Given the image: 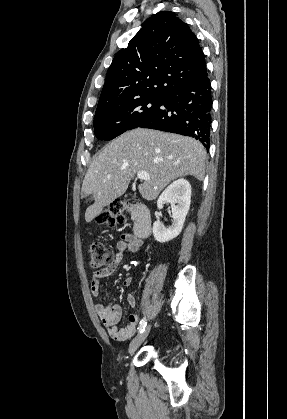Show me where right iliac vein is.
<instances>
[{
	"mask_svg": "<svg viewBox=\"0 0 287 419\" xmlns=\"http://www.w3.org/2000/svg\"><path fill=\"white\" fill-rule=\"evenodd\" d=\"M149 331H150V326H147L146 329L142 333L138 334L132 340L129 346V350H128L130 354H133L137 350V348L144 342V340L149 334Z\"/></svg>",
	"mask_w": 287,
	"mask_h": 419,
	"instance_id": "right-iliac-vein-1",
	"label": "right iliac vein"
}]
</instances>
